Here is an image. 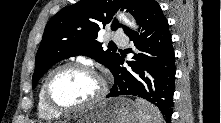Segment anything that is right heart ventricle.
Here are the masks:
<instances>
[{
    "mask_svg": "<svg viewBox=\"0 0 221 123\" xmlns=\"http://www.w3.org/2000/svg\"><path fill=\"white\" fill-rule=\"evenodd\" d=\"M38 113L41 118L47 119V120L59 118L62 114L51 109L45 102L44 96H43V85L41 86L39 90V95H38Z\"/></svg>",
    "mask_w": 221,
    "mask_h": 123,
    "instance_id": "e07e8e85",
    "label": "right heart ventricle"
}]
</instances>
